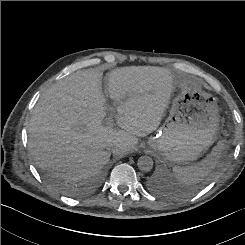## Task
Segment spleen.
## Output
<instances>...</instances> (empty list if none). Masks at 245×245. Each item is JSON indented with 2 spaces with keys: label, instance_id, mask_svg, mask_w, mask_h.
Returning a JSON list of instances; mask_svg holds the SVG:
<instances>
[{
  "label": "spleen",
  "instance_id": "3e777b00",
  "mask_svg": "<svg viewBox=\"0 0 245 245\" xmlns=\"http://www.w3.org/2000/svg\"><path fill=\"white\" fill-rule=\"evenodd\" d=\"M224 147V141L221 140L202 161L188 166H175L173 168L175 178L186 185L202 181L217 167Z\"/></svg>",
  "mask_w": 245,
  "mask_h": 245
}]
</instances>
